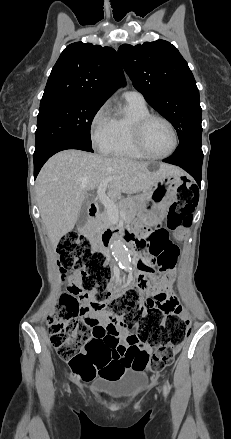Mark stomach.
<instances>
[{
    "label": "stomach",
    "instance_id": "0dacf381",
    "mask_svg": "<svg viewBox=\"0 0 231 439\" xmlns=\"http://www.w3.org/2000/svg\"><path fill=\"white\" fill-rule=\"evenodd\" d=\"M183 175H170L160 179L153 187L135 195L137 212L150 223L161 222L167 214L169 206L176 200L181 187L187 185Z\"/></svg>",
    "mask_w": 231,
    "mask_h": 439
}]
</instances>
